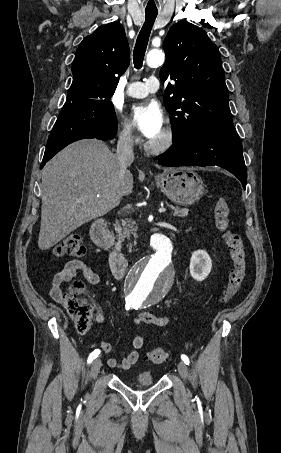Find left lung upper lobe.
Segmentation results:
<instances>
[{
  "label": "left lung upper lobe",
  "instance_id": "left-lung-upper-lobe-1",
  "mask_svg": "<svg viewBox=\"0 0 281 453\" xmlns=\"http://www.w3.org/2000/svg\"><path fill=\"white\" fill-rule=\"evenodd\" d=\"M166 62L160 79L175 81L165 90L173 142L214 128L233 125L221 55L201 28L184 21L174 24L164 42Z\"/></svg>",
  "mask_w": 281,
  "mask_h": 453
}]
</instances>
